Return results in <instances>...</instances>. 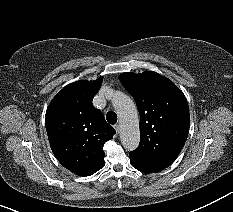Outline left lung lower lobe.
Returning a JSON list of instances; mask_svg holds the SVG:
<instances>
[{"instance_id":"1","label":"left lung lower lobe","mask_w":233,"mask_h":212,"mask_svg":"<svg viewBox=\"0 0 233 212\" xmlns=\"http://www.w3.org/2000/svg\"><path fill=\"white\" fill-rule=\"evenodd\" d=\"M129 158H130L131 165L137 170L144 172V173H156V172H159L165 169V167H161V166L152 164L150 162H147L143 160L142 158L137 157L131 153H129Z\"/></svg>"}]
</instances>
